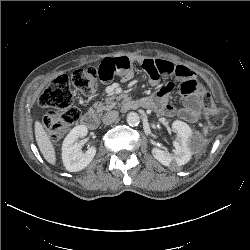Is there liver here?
Returning a JSON list of instances; mask_svg holds the SVG:
<instances>
[{
	"label": "liver",
	"mask_w": 250,
	"mask_h": 250,
	"mask_svg": "<svg viewBox=\"0 0 250 250\" xmlns=\"http://www.w3.org/2000/svg\"><path fill=\"white\" fill-rule=\"evenodd\" d=\"M35 138L40 152L45 160L54 165L56 163V154L54 146L50 140V136L44 130L40 121H35Z\"/></svg>",
	"instance_id": "6515ba94"
}]
</instances>
